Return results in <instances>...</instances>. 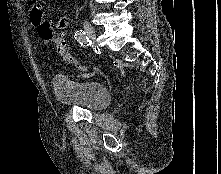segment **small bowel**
Instances as JSON below:
<instances>
[{
    "label": "small bowel",
    "instance_id": "c3829d8e",
    "mask_svg": "<svg viewBox=\"0 0 221 174\" xmlns=\"http://www.w3.org/2000/svg\"><path fill=\"white\" fill-rule=\"evenodd\" d=\"M30 6L29 16L30 20L37 29L41 26L43 21V8L44 2L42 0H26ZM69 24V19L66 15H60L56 23V28L58 30L65 29Z\"/></svg>",
    "mask_w": 221,
    "mask_h": 174
}]
</instances>
